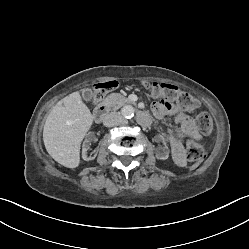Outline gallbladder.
I'll return each instance as SVG.
<instances>
[{
  "mask_svg": "<svg viewBox=\"0 0 249 249\" xmlns=\"http://www.w3.org/2000/svg\"><path fill=\"white\" fill-rule=\"evenodd\" d=\"M82 97L86 102H91L93 98V92L91 89H83L82 90Z\"/></svg>",
  "mask_w": 249,
  "mask_h": 249,
  "instance_id": "gallbladder-1",
  "label": "gallbladder"
}]
</instances>
